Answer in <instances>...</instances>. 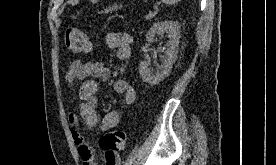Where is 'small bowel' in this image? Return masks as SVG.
<instances>
[{
	"instance_id": "c3829d8e",
	"label": "small bowel",
	"mask_w": 276,
	"mask_h": 165,
	"mask_svg": "<svg viewBox=\"0 0 276 165\" xmlns=\"http://www.w3.org/2000/svg\"><path fill=\"white\" fill-rule=\"evenodd\" d=\"M106 43L109 47L116 50L117 58L126 61L131 56L132 37L127 33L113 32L106 35ZM110 77V70L100 61L82 62L80 60L72 61L66 72L65 81L67 88L71 90L75 83L81 82L79 89V112L81 118L89 128H93L98 123L97 114V91L96 80L106 81ZM96 79V80H95ZM114 91L123 95L126 104H133L136 100L134 88L124 79H118L113 84ZM78 117L75 114H69L68 122L71 128L72 139L77 147L82 165H97L95 162L94 149L86 142L78 130ZM120 115L116 110L107 112L101 122L100 128L108 131L119 124ZM104 165H119V156L115 154L112 157L104 154Z\"/></svg>"
}]
</instances>
